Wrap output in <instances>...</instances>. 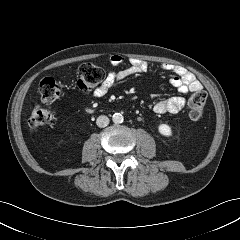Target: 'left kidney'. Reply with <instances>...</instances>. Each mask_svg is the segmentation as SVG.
I'll use <instances>...</instances> for the list:
<instances>
[{
	"mask_svg": "<svg viewBox=\"0 0 240 240\" xmlns=\"http://www.w3.org/2000/svg\"><path fill=\"white\" fill-rule=\"evenodd\" d=\"M160 134L169 137L172 135L171 127L167 124H160L158 127Z\"/></svg>",
	"mask_w": 240,
	"mask_h": 240,
	"instance_id": "obj_1",
	"label": "left kidney"
}]
</instances>
